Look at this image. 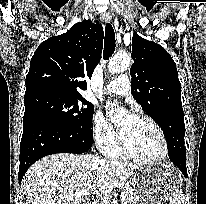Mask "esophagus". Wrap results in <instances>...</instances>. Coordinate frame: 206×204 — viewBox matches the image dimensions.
Listing matches in <instances>:
<instances>
[{"label":"esophagus","mask_w":206,"mask_h":204,"mask_svg":"<svg viewBox=\"0 0 206 204\" xmlns=\"http://www.w3.org/2000/svg\"><path fill=\"white\" fill-rule=\"evenodd\" d=\"M102 21H104L105 23H108L111 21V16L109 13H103L101 16Z\"/></svg>","instance_id":"1"}]
</instances>
